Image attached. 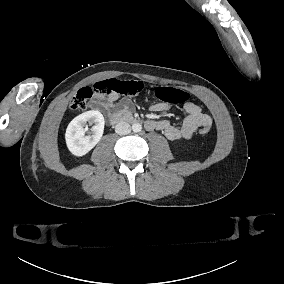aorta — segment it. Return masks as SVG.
Listing matches in <instances>:
<instances>
[{"label":"aorta","mask_w":284,"mask_h":284,"mask_svg":"<svg viewBox=\"0 0 284 284\" xmlns=\"http://www.w3.org/2000/svg\"><path fill=\"white\" fill-rule=\"evenodd\" d=\"M132 130L136 133L140 132L142 130V125L140 123H134L132 125Z\"/></svg>","instance_id":"762f6f07"}]
</instances>
